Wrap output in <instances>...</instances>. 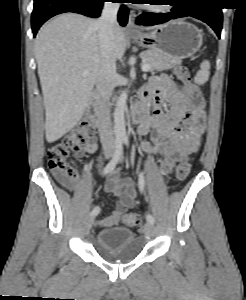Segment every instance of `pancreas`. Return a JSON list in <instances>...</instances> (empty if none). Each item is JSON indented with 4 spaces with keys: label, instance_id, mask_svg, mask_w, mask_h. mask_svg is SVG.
<instances>
[{
    "label": "pancreas",
    "instance_id": "obj_1",
    "mask_svg": "<svg viewBox=\"0 0 246 300\" xmlns=\"http://www.w3.org/2000/svg\"><path fill=\"white\" fill-rule=\"evenodd\" d=\"M143 64H148L150 72L164 71L181 64V61L170 60L157 51H143L140 54Z\"/></svg>",
    "mask_w": 246,
    "mask_h": 300
}]
</instances>
